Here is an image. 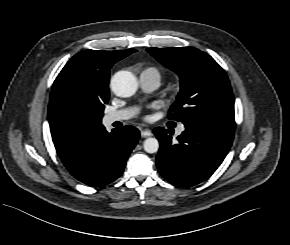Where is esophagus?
<instances>
[{
    "label": "esophagus",
    "instance_id": "1",
    "mask_svg": "<svg viewBox=\"0 0 290 245\" xmlns=\"http://www.w3.org/2000/svg\"><path fill=\"white\" fill-rule=\"evenodd\" d=\"M151 135H152V131L150 129L144 128V129L141 130V136L143 138L149 137Z\"/></svg>",
    "mask_w": 290,
    "mask_h": 245
}]
</instances>
